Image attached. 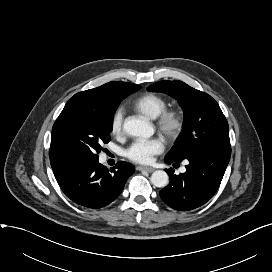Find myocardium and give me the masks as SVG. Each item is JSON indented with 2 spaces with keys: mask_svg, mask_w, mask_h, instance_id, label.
<instances>
[{
  "mask_svg": "<svg viewBox=\"0 0 272 272\" xmlns=\"http://www.w3.org/2000/svg\"><path fill=\"white\" fill-rule=\"evenodd\" d=\"M159 132L169 141L177 139L182 133L184 121L177 109H165L156 118Z\"/></svg>",
  "mask_w": 272,
  "mask_h": 272,
  "instance_id": "myocardium-1",
  "label": "myocardium"
}]
</instances>
